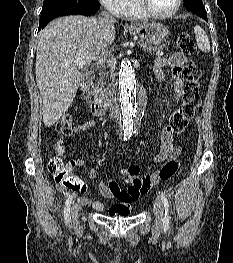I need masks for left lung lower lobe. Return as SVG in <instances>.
<instances>
[{
  "label": "left lung lower lobe",
  "mask_w": 233,
  "mask_h": 263,
  "mask_svg": "<svg viewBox=\"0 0 233 263\" xmlns=\"http://www.w3.org/2000/svg\"><path fill=\"white\" fill-rule=\"evenodd\" d=\"M199 16H201L203 19H205L207 21V13L203 14V15H199Z\"/></svg>",
  "instance_id": "1"
}]
</instances>
